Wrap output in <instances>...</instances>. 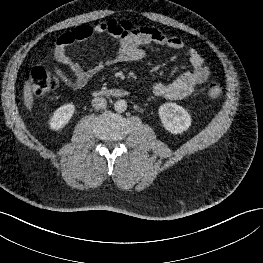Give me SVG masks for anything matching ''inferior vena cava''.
Instances as JSON below:
<instances>
[{"label":"inferior vena cava","instance_id":"602c4592","mask_svg":"<svg viewBox=\"0 0 263 263\" xmlns=\"http://www.w3.org/2000/svg\"><path fill=\"white\" fill-rule=\"evenodd\" d=\"M92 106L95 108V109H105L106 106H107V101L105 98L103 97H95L93 100H92Z\"/></svg>","mask_w":263,"mask_h":263}]
</instances>
